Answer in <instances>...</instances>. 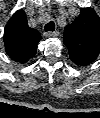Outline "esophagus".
<instances>
[{
    "label": "esophagus",
    "instance_id": "obj_1",
    "mask_svg": "<svg viewBox=\"0 0 100 118\" xmlns=\"http://www.w3.org/2000/svg\"><path fill=\"white\" fill-rule=\"evenodd\" d=\"M59 32L58 31H48V32H44V36L46 37H52V36H58Z\"/></svg>",
    "mask_w": 100,
    "mask_h": 118
}]
</instances>
